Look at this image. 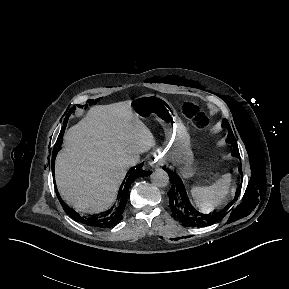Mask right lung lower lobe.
Instances as JSON below:
<instances>
[{"mask_svg": "<svg viewBox=\"0 0 289 289\" xmlns=\"http://www.w3.org/2000/svg\"><path fill=\"white\" fill-rule=\"evenodd\" d=\"M66 124H67V122L64 123L63 129L60 132V135H59L57 142L55 144V147H54L53 160H52V163H53L52 170L53 171H54V162H55L56 154L60 150V145H61L60 144V137H61V134L64 133ZM143 174L146 175L145 171L142 170V165L137 166V168H134V167L131 168L126 175L127 179L123 181V184L121 185V187L119 189L118 196H117L118 197V204L114 208H111L109 211H107L104 215H101V216H91L88 218H84V217L80 216L78 213H76L69 206L65 205V203L62 201L57 190H56V194H57L59 202L61 203L65 212L68 215H70L73 219H75L76 221H79V222L86 224L87 226H91V227H99V228L112 227L113 225L120 222V220L122 219V213H123L124 208H125L127 194H128V190H129L131 183L137 177L142 176Z\"/></svg>", "mask_w": 289, "mask_h": 289, "instance_id": "obj_1", "label": "right lung lower lobe"}]
</instances>
